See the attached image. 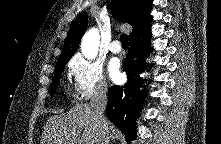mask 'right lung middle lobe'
<instances>
[{"mask_svg": "<svg viewBox=\"0 0 221 144\" xmlns=\"http://www.w3.org/2000/svg\"><path fill=\"white\" fill-rule=\"evenodd\" d=\"M65 64L66 63L56 65V71H55L53 84H52V88H51V92H50L51 95H54L57 88H58L59 81H60V76H61V74L64 70Z\"/></svg>", "mask_w": 221, "mask_h": 144, "instance_id": "obj_1", "label": "right lung middle lobe"}]
</instances>
